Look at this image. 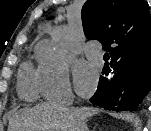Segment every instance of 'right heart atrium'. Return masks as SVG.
I'll return each instance as SVG.
<instances>
[{
    "label": "right heart atrium",
    "mask_w": 151,
    "mask_h": 131,
    "mask_svg": "<svg viewBox=\"0 0 151 131\" xmlns=\"http://www.w3.org/2000/svg\"><path fill=\"white\" fill-rule=\"evenodd\" d=\"M37 77L41 94L47 99H60L72 95L67 56L50 50L39 59Z\"/></svg>",
    "instance_id": "1"
}]
</instances>
